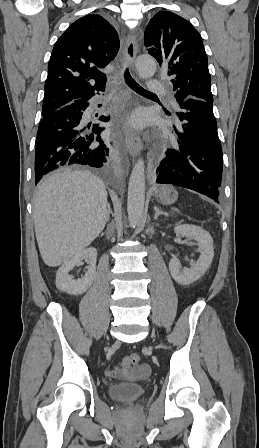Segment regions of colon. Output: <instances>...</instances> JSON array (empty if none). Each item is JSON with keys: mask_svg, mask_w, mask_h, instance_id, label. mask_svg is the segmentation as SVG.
<instances>
[{"mask_svg": "<svg viewBox=\"0 0 259 448\" xmlns=\"http://www.w3.org/2000/svg\"><path fill=\"white\" fill-rule=\"evenodd\" d=\"M128 360H129L130 364H132V365H136V364L139 363V361H140V357H139L138 354L133 353V354H131V355L128 356Z\"/></svg>", "mask_w": 259, "mask_h": 448, "instance_id": "obj_1", "label": "colon"}]
</instances>
